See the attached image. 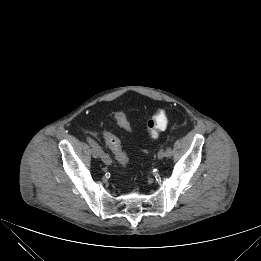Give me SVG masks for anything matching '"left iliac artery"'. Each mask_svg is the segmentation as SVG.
<instances>
[{
    "mask_svg": "<svg viewBox=\"0 0 261 261\" xmlns=\"http://www.w3.org/2000/svg\"><path fill=\"white\" fill-rule=\"evenodd\" d=\"M173 154V147L171 145L167 146L165 150V156L166 157H171Z\"/></svg>",
    "mask_w": 261,
    "mask_h": 261,
    "instance_id": "1",
    "label": "left iliac artery"
}]
</instances>
